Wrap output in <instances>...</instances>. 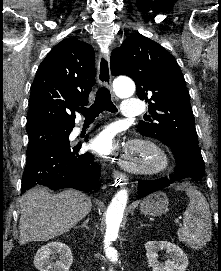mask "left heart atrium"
<instances>
[{"label": "left heart atrium", "instance_id": "left-heart-atrium-1", "mask_svg": "<svg viewBox=\"0 0 221 271\" xmlns=\"http://www.w3.org/2000/svg\"><path fill=\"white\" fill-rule=\"evenodd\" d=\"M116 138L117 131L105 129L93 138L91 148L99 154H111L120 147V142H117Z\"/></svg>", "mask_w": 221, "mask_h": 271}]
</instances>
